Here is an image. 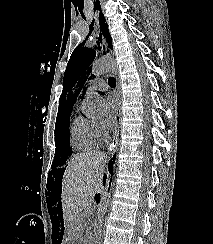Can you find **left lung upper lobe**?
I'll return each mask as SVG.
<instances>
[{"label":"left lung upper lobe","instance_id":"obj_1","mask_svg":"<svg viewBox=\"0 0 213 244\" xmlns=\"http://www.w3.org/2000/svg\"><path fill=\"white\" fill-rule=\"evenodd\" d=\"M80 44L72 53L63 78V91L60 97V110L66 109L76 100L80 90L84 86L90 74V65L96 57V49L100 50V44L95 49H89ZM90 79V78H89ZM78 88L77 89H75Z\"/></svg>","mask_w":213,"mask_h":244}]
</instances>
